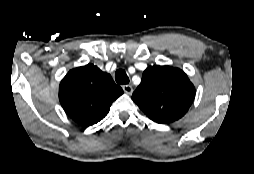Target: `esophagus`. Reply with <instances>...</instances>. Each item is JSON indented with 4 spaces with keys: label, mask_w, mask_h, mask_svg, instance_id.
I'll return each instance as SVG.
<instances>
[{
    "label": "esophagus",
    "mask_w": 254,
    "mask_h": 174,
    "mask_svg": "<svg viewBox=\"0 0 254 174\" xmlns=\"http://www.w3.org/2000/svg\"><path fill=\"white\" fill-rule=\"evenodd\" d=\"M122 89L128 95L132 94V92H133V87L131 85H128V84L127 85H123Z\"/></svg>",
    "instance_id": "34e87169"
}]
</instances>
